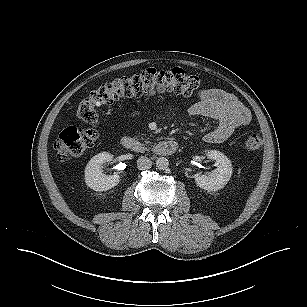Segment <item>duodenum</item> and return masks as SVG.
I'll use <instances>...</instances> for the list:
<instances>
[{
    "mask_svg": "<svg viewBox=\"0 0 307 307\" xmlns=\"http://www.w3.org/2000/svg\"><path fill=\"white\" fill-rule=\"evenodd\" d=\"M122 146L124 149L131 151L133 153H143L145 147L142 143L135 140L130 136H125L122 138ZM178 149V144L174 140H163L160 141L153 149V154L159 156H170L174 154Z\"/></svg>",
    "mask_w": 307,
    "mask_h": 307,
    "instance_id": "1",
    "label": "duodenum"
}]
</instances>
